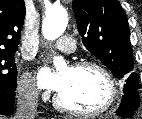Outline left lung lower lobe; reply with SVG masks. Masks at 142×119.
I'll return each mask as SVG.
<instances>
[{"mask_svg": "<svg viewBox=\"0 0 142 119\" xmlns=\"http://www.w3.org/2000/svg\"><path fill=\"white\" fill-rule=\"evenodd\" d=\"M139 102L138 91L126 92L122 98L119 109L116 111L117 115L121 117H130L139 107Z\"/></svg>", "mask_w": 142, "mask_h": 119, "instance_id": "1", "label": "left lung lower lobe"}]
</instances>
